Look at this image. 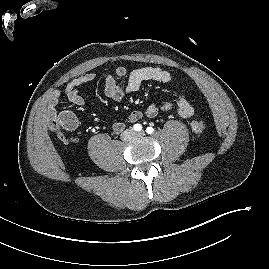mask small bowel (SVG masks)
Masks as SVG:
<instances>
[{
    "mask_svg": "<svg viewBox=\"0 0 269 269\" xmlns=\"http://www.w3.org/2000/svg\"><path fill=\"white\" fill-rule=\"evenodd\" d=\"M98 77L104 79L105 96L114 101H121L125 95L138 91L144 82L155 81L168 84L172 81L170 72L159 67L151 66H142L131 72H128L125 67L119 66L116 68L114 75L106 73H86L71 80L63 90H55L51 93L48 99V115L50 117L57 116V106L62 96L76 106L84 105V98L79 93L78 88L95 81ZM124 79H126V82L122 85ZM175 106L177 107V115L181 119H188L194 114L190 100L186 96L181 95L176 102L167 101L160 108L152 104L149 105L144 112L140 110L131 112L126 121H118L113 124V131L120 133L124 130L127 123L138 122L144 115L148 118H154L157 116L159 110L169 112Z\"/></svg>",
    "mask_w": 269,
    "mask_h": 269,
    "instance_id": "small-bowel-1",
    "label": "small bowel"
}]
</instances>
